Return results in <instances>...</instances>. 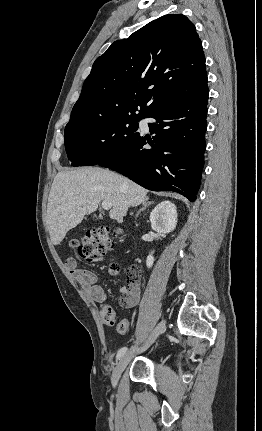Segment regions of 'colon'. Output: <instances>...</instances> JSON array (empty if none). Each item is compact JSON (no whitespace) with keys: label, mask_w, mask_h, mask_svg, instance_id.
Wrapping results in <instances>:
<instances>
[{"label":"colon","mask_w":262,"mask_h":431,"mask_svg":"<svg viewBox=\"0 0 262 431\" xmlns=\"http://www.w3.org/2000/svg\"><path fill=\"white\" fill-rule=\"evenodd\" d=\"M112 243L106 238V229L100 227L91 231L82 239H71L69 247L74 250L79 259L87 262L94 261L96 258L105 255L112 248ZM112 271H117L116 265L111 266ZM137 269H132L130 272L131 277L137 275ZM102 320L106 324L114 323V318L111 316V310L106 314H102ZM129 324L127 320H121L117 323V330L124 334L128 331Z\"/></svg>","instance_id":"1"}]
</instances>
